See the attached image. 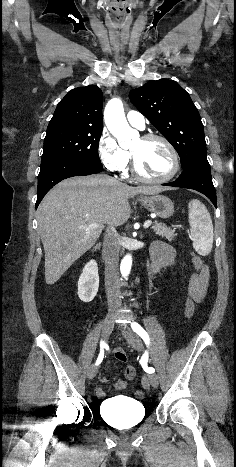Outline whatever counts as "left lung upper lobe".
Masks as SVG:
<instances>
[{
	"label": "left lung upper lobe",
	"mask_w": 236,
	"mask_h": 467,
	"mask_svg": "<svg viewBox=\"0 0 236 467\" xmlns=\"http://www.w3.org/2000/svg\"><path fill=\"white\" fill-rule=\"evenodd\" d=\"M136 108L178 152L182 168L206 157L203 124L189 94L175 81H148L130 92Z\"/></svg>",
	"instance_id": "left-lung-upper-lobe-1"
}]
</instances>
